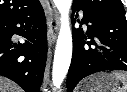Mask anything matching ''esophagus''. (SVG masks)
<instances>
[{"label":"esophagus","mask_w":127,"mask_h":92,"mask_svg":"<svg viewBox=\"0 0 127 92\" xmlns=\"http://www.w3.org/2000/svg\"><path fill=\"white\" fill-rule=\"evenodd\" d=\"M47 10V40L52 45L59 29V14L52 0H45Z\"/></svg>","instance_id":"34e87169"}]
</instances>
